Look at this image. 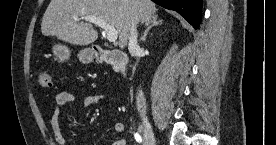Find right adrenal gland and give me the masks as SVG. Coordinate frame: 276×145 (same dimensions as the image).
Instances as JSON below:
<instances>
[{
	"mask_svg": "<svg viewBox=\"0 0 276 145\" xmlns=\"http://www.w3.org/2000/svg\"><path fill=\"white\" fill-rule=\"evenodd\" d=\"M162 21L163 20H160L158 19L157 16L153 17L152 19L148 20L145 22V26L147 27L143 36L141 37V41H145L146 40V37L148 35V32L149 30L154 27V26H158V25H162Z\"/></svg>",
	"mask_w": 276,
	"mask_h": 145,
	"instance_id": "1",
	"label": "right adrenal gland"
}]
</instances>
